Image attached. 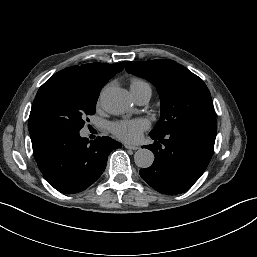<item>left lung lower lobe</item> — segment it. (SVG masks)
Here are the masks:
<instances>
[{
	"label": "left lung lower lobe",
	"instance_id": "left-lung-lower-lobe-1",
	"mask_svg": "<svg viewBox=\"0 0 257 257\" xmlns=\"http://www.w3.org/2000/svg\"><path fill=\"white\" fill-rule=\"evenodd\" d=\"M216 133L215 122L185 125L162 135L150 133L155 142L143 147L154 153L155 160L140 170L141 177L164 194L187 191L207 168Z\"/></svg>",
	"mask_w": 257,
	"mask_h": 257
}]
</instances>
